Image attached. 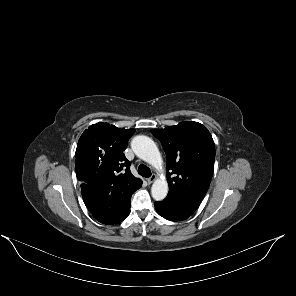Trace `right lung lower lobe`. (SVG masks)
<instances>
[{"label":"right lung lower lobe","instance_id":"98d812e1","mask_svg":"<svg viewBox=\"0 0 296 296\" xmlns=\"http://www.w3.org/2000/svg\"><path fill=\"white\" fill-rule=\"evenodd\" d=\"M140 187L115 194L90 192H81V194L93 217L103 224L112 225L123 221L129 215L131 196Z\"/></svg>","mask_w":296,"mask_h":296}]
</instances>
